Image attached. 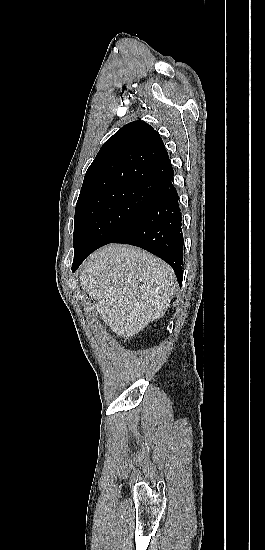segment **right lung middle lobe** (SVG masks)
Masks as SVG:
<instances>
[{"label": "right lung middle lobe", "mask_w": 265, "mask_h": 550, "mask_svg": "<svg viewBox=\"0 0 265 550\" xmlns=\"http://www.w3.org/2000/svg\"><path fill=\"white\" fill-rule=\"evenodd\" d=\"M159 187H122L77 202L73 265L130 227L151 203Z\"/></svg>", "instance_id": "1"}]
</instances>
